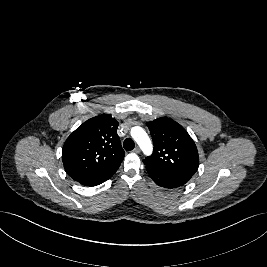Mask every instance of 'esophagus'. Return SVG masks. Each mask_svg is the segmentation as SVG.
Wrapping results in <instances>:
<instances>
[{"label":"esophagus","instance_id":"esophagus-1","mask_svg":"<svg viewBox=\"0 0 267 267\" xmlns=\"http://www.w3.org/2000/svg\"><path fill=\"white\" fill-rule=\"evenodd\" d=\"M133 152L135 153H140V148L138 146H136L134 149H133Z\"/></svg>","mask_w":267,"mask_h":267}]
</instances>
